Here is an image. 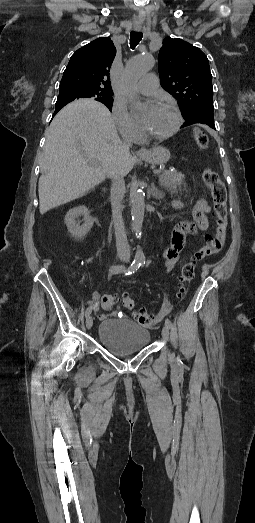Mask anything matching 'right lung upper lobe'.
I'll return each instance as SVG.
<instances>
[{
  "mask_svg": "<svg viewBox=\"0 0 255 523\" xmlns=\"http://www.w3.org/2000/svg\"><path fill=\"white\" fill-rule=\"evenodd\" d=\"M116 55L110 37H100L78 49L63 73L59 91L112 94L109 69ZM67 102H56L53 116ZM112 109L111 106H109Z\"/></svg>",
  "mask_w": 255,
  "mask_h": 523,
  "instance_id": "obj_1",
  "label": "right lung upper lobe"
}]
</instances>
